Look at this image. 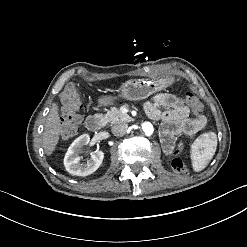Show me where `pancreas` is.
Listing matches in <instances>:
<instances>
[{
	"label": "pancreas",
	"instance_id": "pancreas-1",
	"mask_svg": "<svg viewBox=\"0 0 247 247\" xmlns=\"http://www.w3.org/2000/svg\"><path fill=\"white\" fill-rule=\"evenodd\" d=\"M104 117L107 119L108 122L114 124L121 121H126L128 119V114L122 113L120 110H118L115 107H112L105 115Z\"/></svg>",
	"mask_w": 247,
	"mask_h": 247
}]
</instances>
